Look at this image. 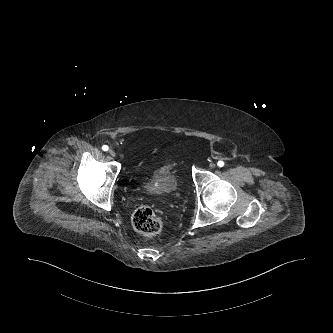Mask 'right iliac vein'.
Listing matches in <instances>:
<instances>
[{
	"instance_id": "1",
	"label": "right iliac vein",
	"mask_w": 333,
	"mask_h": 333,
	"mask_svg": "<svg viewBox=\"0 0 333 333\" xmlns=\"http://www.w3.org/2000/svg\"><path fill=\"white\" fill-rule=\"evenodd\" d=\"M109 154H110L111 156H113V157H114V156H115V151H114V150H112V149H110V150H109Z\"/></svg>"
}]
</instances>
